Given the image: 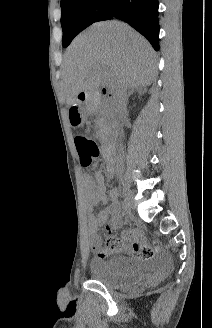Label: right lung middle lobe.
I'll list each match as a JSON object with an SVG mask.
<instances>
[{
	"instance_id": "obj_1",
	"label": "right lung middle lobe",
	"mask_w": 212,
	"mask_h": 328,
	"mask_svg": "<svg viewBox=\"0 0 212 328\" xmlns=\"http://www.w3.org/2000/svg\"><path fill=\"white\" fill-rule=\"evenodd\" d=\"M104 0H61L62 46L67 47L82 30L94 22L93 7H100Z\"/></svg>"
}]
</instances>
